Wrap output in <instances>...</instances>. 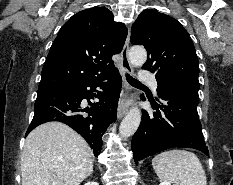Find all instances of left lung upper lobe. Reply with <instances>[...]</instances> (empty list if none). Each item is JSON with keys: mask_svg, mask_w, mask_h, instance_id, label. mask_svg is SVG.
<instances>
[{"mask_svg": "<svg viewBox=\"0 0 233 185\" xmlns=\"http://www.w3.org/2000/svg\"><path fill=\"white\" fill-rule=\"evenodd\" d=\"M131 43L146 48L148 57L142 68L155 74L160 88L176 83L199 85L193 42L176 19L156 10H144L132 26Z\"/></svg>", "mask_w": 233, "mask_h": 185, "instance_id": "left-lung-upper-lobe-1", "label": "left lung upper lobe"}]
</instances>
